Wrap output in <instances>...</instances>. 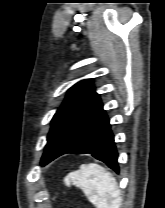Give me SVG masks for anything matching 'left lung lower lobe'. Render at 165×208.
<instances>
[{
  "label": "left lung lower lobe",
  "instance_id": "1",
  "mask_svg": "<svg viewBox=\"0 0 165 208\" xmlns=\"http://www.w3.org/2000/svg\"><path fill=\"white\" fill-rule=\"evenodd\" d=\"M66 154H91L119 173L114 136L103 107L83 125Z\"/></svg>",
  "mask_w": 165,
  "mask_h": 208
}]
</instances>
